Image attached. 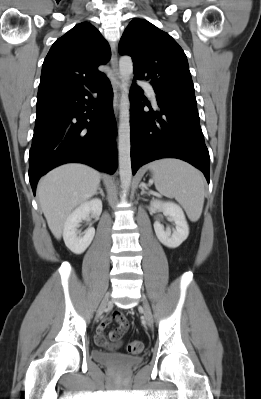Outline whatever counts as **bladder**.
<instances>
[{
  "label": "bladder",
  "instance_id": "31cf9c89",
  "mask_svg": "<svg viewBox=\"0 0 261 399\" xmlns=\"http://www.w3.org/2000/svg\"><path fill=\"white\" fill-rule=\"evenodd\" d=\"M92 357L94 361L108 367L129 368L142 362V358L138 356H128L118 352H106L102 350H93Z\"/></svg>",
  "mask_w": 261,
  "mask_h": 399
}]
</instances>
